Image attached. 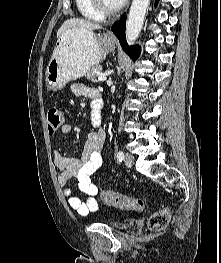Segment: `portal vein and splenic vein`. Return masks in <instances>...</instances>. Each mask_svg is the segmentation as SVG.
I'll use <instances>...</instances> for the list:
<instances>
[{
    "label": "portal vein and splenic vein",
    "instance_id": "1",
    "mask_svg": "<svg viewBox=\"0 0 221 263\" xmlns=\"http://www.w3.org/2000/svg\"><path fill=\"white\" fill-rule=\"evenodd\" d=\"M99 81H105L107 79V76L105 74L99 75L97 78Z\"/></svg>",
    "mask_w": 221,
    "mask_h": 263
}]
</instances>
